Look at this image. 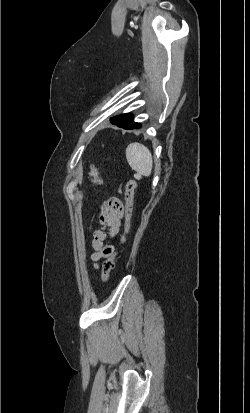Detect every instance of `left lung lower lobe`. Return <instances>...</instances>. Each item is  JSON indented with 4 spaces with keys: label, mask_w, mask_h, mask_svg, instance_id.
Segmentation results:
<instances>
[{
    "label": "left lung lower lobe",
    "mask_w": 250,
    "mask_h": 413,
    "mask_svg": "<svg viewBox=\"0 0 250 413\" xmlns=\"http://www.w3.org/2000/svg\"><path fill=\"white\" fill-rule=\"evenodd\" d=\"M110 121L112 124L124 129H134L140 127L139 123L133 121V117L131 114L119 115L114 118H111Z\"/></svg>",
    "instance_id": "left-lung-lower-lobe-1"
}]
</instances>
